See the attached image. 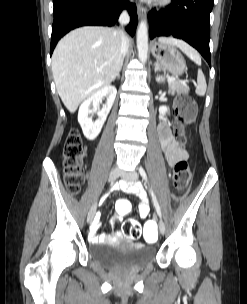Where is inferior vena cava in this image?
Masks as SVG:
<instances>
[{"label": "inferior vena cava", "mask_w": 247, "mask_h": 304, "mask_svg": "<svg viewBox=\"0 0 247 304\" xmlns=\"http://www.w3.org/2000/svg\"><path fill=\"white\" fill-rule=\"evenodd\" d=\"M129 22V15L127 14L126 11H123L119 17V23L124 26L126 24H128ZM120 37H121V55L124 57L126 55V53L128 52V47H129V39L126 35V33L124 32L123 29H121L119 31Z\"/></svg>", "instance_id": "1"}]
</instances>
